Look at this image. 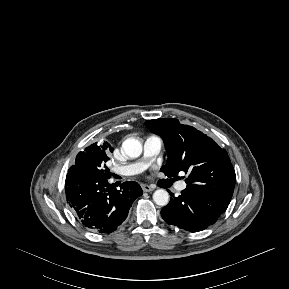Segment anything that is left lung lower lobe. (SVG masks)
<instances>
[{"label":"left lung lower lobe","mask_w":289,"mask_h":289,"mask_svg":"<svg viewBox=\"0 0 289 289\" xmlns=\"http://www.w3.org/2000/svg\"><path fill=\"white\" fill-rule=\"evenodd\" d=\"M161 210L166 223L181 229L198 232L214 224L229 203L210 195L202 194L190 188L181 191V195L173 197Z\"/></svg>","instance_id":"0a47b994"}]
</instances>
